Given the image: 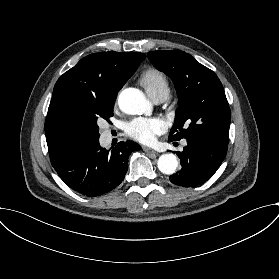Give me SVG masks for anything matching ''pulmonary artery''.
I'll return each mask as SVG.
<instances>
[{"instance_id": "1", "label": "pulmonary artery", "mask_w": 279, "mask_h": 279, "mask_svg": "<svg viewBox=\"0 0 279 279\" xmlns=\"http://www.w3.org/2000/svg\"><path fill=\"white\" fill-rule=\"evenodd\" d=\"M148 94L155 103H161L166 99H168L169 88H161L158 91L148 93Z\"/></svg>"}]
</instances>
